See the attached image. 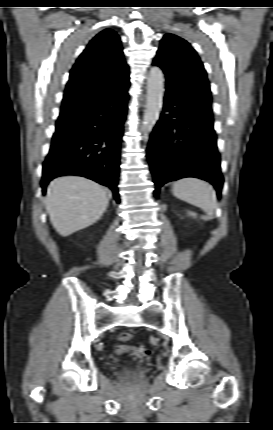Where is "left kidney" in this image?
<instances>
[{"label": "left kidney", "mask_w": 273, "mask_h": 430, "mask_svg": "<svg viewBox=\"0 0 273 430\" xmlns=\"http://www.w3.org/2000/svg\"><path fill=\"white\" fill-rule=\"evenodd\" d=\"M189 214L191 215V216H196V214L195 213H193V212H189Z\"/></svg>", "instance_id": "left-kidney-1"}]
</instances>
